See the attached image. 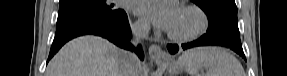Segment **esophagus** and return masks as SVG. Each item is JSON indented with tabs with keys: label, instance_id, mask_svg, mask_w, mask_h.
Segmentation results:
<instances>
[{
	"label": "esophagus",
	"instance_id": "34e87169",
	"mask_svg": "<svg viewBox=\"0 0 287 76\" xmlns=\"http://www.w3.org/2000/svg\"><path fill=\"white\" fill-rule=\"evenodd\" d=\"M149 56L156 62H163L168 59L167 53L157 44H152L149 47Z\"/></svg>",
	"mask_w": 287,
	"mask_h": 76
}]
</instances>
